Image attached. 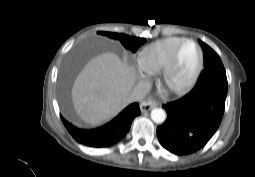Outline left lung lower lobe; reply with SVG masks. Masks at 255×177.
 <instances>
[{
	"mask_svg": "<svg viewBox=\"0 0 255 177\" xmlns=\"http://www.w3.org/2000/svg\"><path fill=\"white\" fill-rule=\"evenodd\" d=\"M226 96L227 86L196 84L184 97L163 105L167 119L157 128L161 145L175 155L203 148L221 123Z\"/></svg>",
	"mask_w": 255,
	"mask_h": 177,
	"instance_id": "left-lung-lower-lobe-1",
	"label": "left lung lower lobe"
}]
</instances>
